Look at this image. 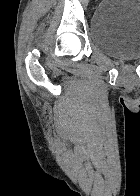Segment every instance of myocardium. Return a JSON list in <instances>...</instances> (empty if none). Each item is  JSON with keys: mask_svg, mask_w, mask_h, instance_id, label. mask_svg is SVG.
<instances>
[{"mask_svg": "<svg viewBox=\"0 0 140 196\" xmlns=\"http://www.w3.org/2000/svg\"><path fill=\"white\" fill-rule=\"evenodd\" d=\"M85 192H121V191H85Z\"/></svg>", "mask_w": 140, "mask_h": 196, "instance_id": "obj_1", "label": "myocardium"}]
</instances>
